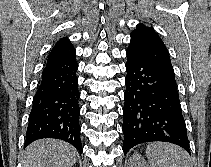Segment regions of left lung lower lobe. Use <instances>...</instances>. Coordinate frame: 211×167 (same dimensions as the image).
I'll return each mask as SVG.
<instances>
[{
	"label": "left lung lower lobe",
	"instance_id": "0a47b994",
	"mask_svg": "<svg viewBox=\"0 0 211 167\" xmlns=\"http://www.w3.org/2000/svg\"><path fill=\"white\" fill-rule=\"evenodd\" d=\"M126 54L124 154L151 141L174 143L190 153L175 79L145 55L129 50Z\"/></svg>",
	"mask_w": 211,
	"mask_h": 167
}]
</instances>
